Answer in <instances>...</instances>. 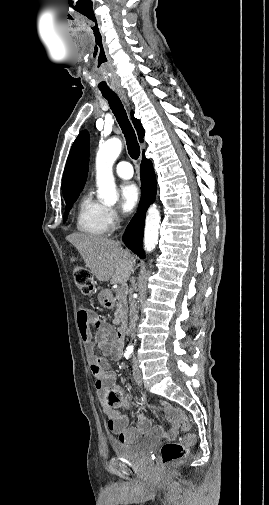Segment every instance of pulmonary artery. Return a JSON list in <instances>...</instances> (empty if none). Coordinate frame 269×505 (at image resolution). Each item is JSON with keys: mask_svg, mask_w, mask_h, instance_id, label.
<instances>
[{"mask_svg": "<svg viewBox=\"0 0 269 505\" xmlns=\"http://www.w3.org/2000/svg\"><path fill=\"white\" fill-rule=\"evenodd\" d=\"M115 171L117 175L123 179H130L133 176V168L131 164L126 161L119 162L115 167Z\"/></svg>", "mask_w": 269, "mask_h": 505, "instance_id": "obj_1", "label": "pulmonary artery"}]
</instances>
